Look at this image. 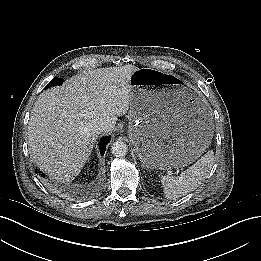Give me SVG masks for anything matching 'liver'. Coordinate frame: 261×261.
Segmentation results:
<instances>
[{"mask_svg":"<svg viewBox=\"0 0 261 261\" xmlns=\"http://www.w3.org/2000/svg\"><path fill=\"white\" fill-rule=\"evenodd\" d=\"M138 69L131 64L98 68L43 91L32 108L27 136L38 167L59 182L73 180L97 140L93 121L103 118L105 132H112L118 117L128 112L130 81Z\"/></svg>","mask_w":261,"mask_h":261,"instance_id":"1","label":"liver"}]
</instances>
